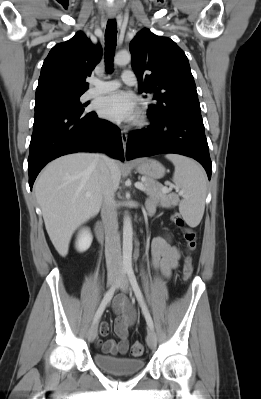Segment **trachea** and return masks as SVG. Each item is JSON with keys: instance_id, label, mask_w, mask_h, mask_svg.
I'll return each mask as SVG.
<instances>
[{"instance_id": "obj_1", "label": "trachea", "mask_w": 261, "mask_h": 399, "mask_svg": "<svg viewBox=\"0 0 261 399\" xmlns=\"http://www.w3.org/2000/svg\"><path fill=\"white\" fill-rule=\"evenodd\" d=\"M116 37H117V23L115 20H109L107 22L105 38H106V48H105V62H106V70L107 72H112L113 67V57H114V49L116 46Z\"/></svg>"}]
</instances>
